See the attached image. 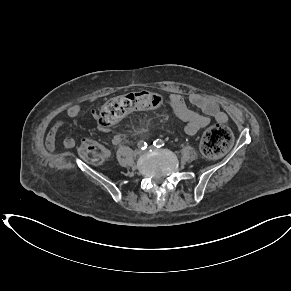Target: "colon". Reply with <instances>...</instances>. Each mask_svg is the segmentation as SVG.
<instances>
[{"instance_id": "obj_1", "label": "colon", "mask_w": 291, "mask_h": 291, "mask_svg": "<svg viewBox=\"0 0 291 291\" xmlns=\"http://www.w3.org/2000/svg\"><path fill=\"white\" fill-rule=\"evenodd\" d=\"M162 98L150 91H135L109 100L101 109L98 123L107 127L117 123L126 115L158 108ZM230 130L221 124L211 126L203 135L201 148L205 155L218 157L232 145ZM81 156L88 162L100 165L105 161V149L93 142H85L80 147Z\"/></svg>"}]
</instances>
